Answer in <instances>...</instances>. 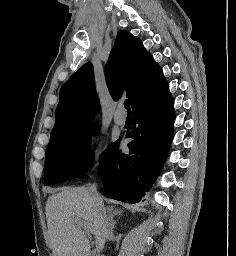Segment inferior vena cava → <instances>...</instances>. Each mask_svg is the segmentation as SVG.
<instances>
[{
    "label": "inferior vena cava",
    "instance_id": "inferior-vena-cava-1",
    "mask_svg": "<svg viewBox=\"0 0 236 256\" xmlns=\"http://www.w3.org/2000/svg\"><path fill=\"white\" fill-rule=\"evenodd\" d=\"M88 192H89V194H91V196H94V198H98V200H101V198L97 192L96 184H92V186H90V188H88ZM107 226H108V220H107ZM104 230H105L106 238H108V236L110 234V230H106V228H104Z\"/></svg>",
    "mask_w": 236,
    "mask_h": 256
}]
</instances>
